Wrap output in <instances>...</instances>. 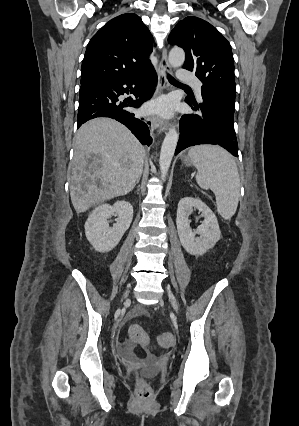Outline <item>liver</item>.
Segmentation results:
<instances>
[{"label": "liver", "instance_id": "liver-1", "mask_svg": "<svg viewBox=\"0 0 299 426\" xmlns=\"http://www.w3.org/2000/svg\"><path fill=\"white\" fill-rule=\"evenodd\" d=\"M145 150L121 123L95 118L83 124L74 139L70 184L77 213L129 193L142 175Z\"/></svg>", "mask_w": 299, "mask_h": 426}]
</instances>
